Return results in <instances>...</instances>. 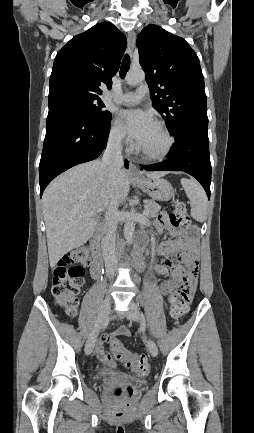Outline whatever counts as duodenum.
<instances>
[{
    "mask_svg": "<svg viewBox=\"0 0 254 433\" xmlns=\"http://www.w3.org/2000/svg\"><path fill=\"white\" fill-rule=\"evenodd\" d=\"M90 246L92 250V262L90 266L91 275L94 278H98L102 271L103 259H102V248L101 240L99 236H93L90 241Z\"/></svg>",
    "mask_w": 254,
    "mask_h": 433,
    "instance_id": "410a0bca",
    "label": "duodenum"
}]
</instances>
